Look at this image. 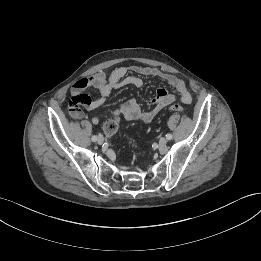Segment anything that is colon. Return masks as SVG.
<instances>
[{
	"label": "colon",
	"instance_id": "5ec220e1",
	"mask_svg": "<svg viewBox=\"0 0 261 261\" xmlns=\"http://www.w3.org/2000/svg\"><path fill=\"white\" fill-rule=\"evenodd\" d=\"M169 109L170 111L175 113H180L184 110L183 107L178 103L171 104ZM119 124H120V120L118 117H114L106 121V123L104 124L105 134L109 137L115 135V133L118 131Z\"/></svg>",
	"mask_w": 261,
	"mask_h": 261
}]
</instances>
